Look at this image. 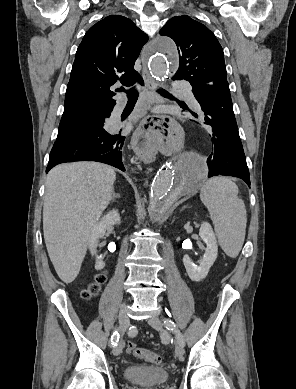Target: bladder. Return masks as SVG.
I'll use <instances>...</instances> for the list:
<instances>
[{
    "label": "bladder",
    "instance_id": "1",
    "mask_svg": "<svg viewBox=\"0 0 296 389\" xmlns=\"http://www.w3.org/2000/svg\"><path fill=\"white\" fill-rule=\"evenodd\" d=\"M123 377L132 384L150 387L166 382L169 373L163 367L132 364L125 367Z\"/></svg>",
    "mask_w": 296,
    "mask_h": 389
}]
</instances>
